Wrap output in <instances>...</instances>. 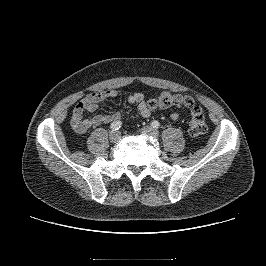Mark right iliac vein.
Wrapping results in <instances>:
<instances>
[{"label":"right iliac vein","instance_id":"right-iliac-vein-1","mask_svg":"<svg viewBox=\"0 0 266 266\" xmlns=\"http://www.w3.org/2000/svg\"><path fill=\"white\" fill-rule=\"evenodd\" d=\"M109 139L111 142L116 143L120 140V132L119 131H113L110 136Z\"/></svg>","mask_w":266,"mask_h":266}]
</instances>
